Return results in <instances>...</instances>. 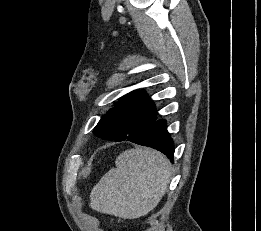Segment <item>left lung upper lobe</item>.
I'll list each match as a JSON object with an SVG mask.
<instances>
[{
  "mask_svg": "<svg viewBox=\"0 0 261 231\" xmlns=\"http://www.w3.org/2000/svg\"><path fill=\"white\" fill-rule=\"evenodd\" d=\"M157 120L155 105L143 91L122 97L94 128V134L103 139L141 138Z\"/></svg>",
  "mask_w": 261,
  "mask_h": 231,
  "instance_id": "left-lung-upper-lobe-1",
  "label": "left lung upper lobe"
}]
</instances>
